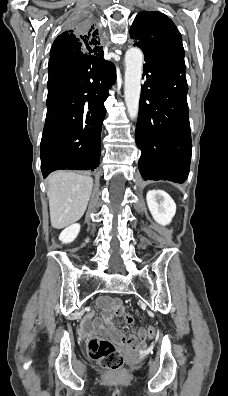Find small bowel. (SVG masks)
<instances>
[{
	"instance_id": "1",
	"label": "small bowel",
	"mask_w": 228,
	"mask_h": 396,
	"mask_svg": "<svg viewBox=\"0 0 228 396\" xmlns=\"http://www.w3.org/2000/svg\"><path fill=\"white\" fill-rule=\"evenodd\" d=\"M99 307L103 313V321L101 319H96L91 323L89 318L85 319L80 328V334L82 336H87L89 331L94 328L100 332L109 331L115 340L120 343H126L130 349L141 347L145 344L146 334L144 329L139 331L138 336L131 335L125 337L120 331L113 327V319L124 313V307L118 299L111 297L101 298Z\"/></svg>"
}]
</instances>
